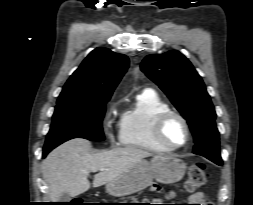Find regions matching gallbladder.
I'll return each instance as SVG.
<instances>
[{"instance_id": "1", "label": "gallbladder", "mask_w": 253, "mask_h": 205, "mask_svg": "<svg viewBox=\"0 0 253 205\" xmlns=\"http://www.w3.org/2000/svg\"><path fill=\"white\" fill-rule=\"evenodd\" d=\"M70 200H71V196L68 193H63L59 199L60 202H70Z\"/></svg>"}]
</instances>
